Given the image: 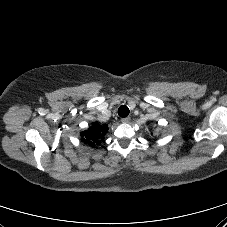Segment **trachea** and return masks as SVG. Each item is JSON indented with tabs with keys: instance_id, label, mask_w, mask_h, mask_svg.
<instances>
[{
	"instance_id": "1",
	"label": "trachea",
	"mask_w": 227,
	"mask_h": 227,
	"mask_svg": "<svg viewBox=\"0 0 227 227\" xmlns=\"http://www.w3.org/2000/svg\"><path fill=\"white\" fill-rule=\"evenodd\" d=\"M118 115L120 117H127L129 115V108L126 105H122L118 109Z\"/></svg>"
}]
</instances>
